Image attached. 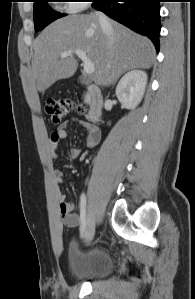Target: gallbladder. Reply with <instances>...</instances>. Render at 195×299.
<instances>
[{
    "label": "gallbladder",
    "mask_w": 195,
    "mask_h": 299,
    "mask_svg": "<svg viewBox=\"0 0 195 299\" xmlns=\"http://www.w3.org/2000/svg\"><path fill=\"white\" fill-rule=\"evenodd\" d=\"M80 81H81L82 83H88V82H89L87 79H85V78H83V77L80 78Z\"/></svg>",
    "instance_id": "gallbladder-1"
}]
</instances>
